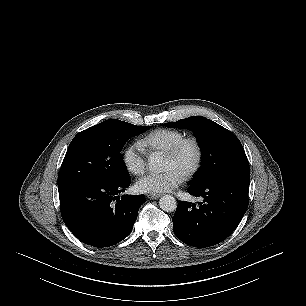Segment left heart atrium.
Wrapping results in <instances>:
<instances>
[{"instance_id":"obj_1","label":"left heart atrium","mask_w":306,"mask_h":306,"mask_svg":"<svg viewBox=\"0 0 306 306\" xmlns=\"http://www.w3.org/2000/svg\"><path fill=\"white\" fill-rule=\"evenodd\" d=\"M184 181V177L174 169L162 173L148 174L136 183L137 189L142 193L157 194L171 191Z\"/></svg>"}]
</instances>
